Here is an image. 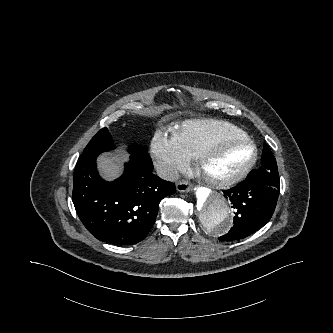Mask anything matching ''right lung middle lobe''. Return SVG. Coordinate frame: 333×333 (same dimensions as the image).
<instances>
[{"label": "right lung middle lobe", "mask_w": 333, "mask_h": 333, "mask_svg": "<svg viewBox=\"0 0 333 333\" xmlns=\"http://www.w3.org/2000/svg\"><path fill=\"white\" fill-rule=\"evenodd\" d=\"M115 146L113 144V140L107 130V128H103L98 131V133L92 138V140L88 143L86 148L83 151V154H100L105 151H109L113 149ZM130 153L132 155H147V151L145 148H141L136 144L130 146Z\"/></svg>", "instance_id": "obj_1"}]
</instances>
